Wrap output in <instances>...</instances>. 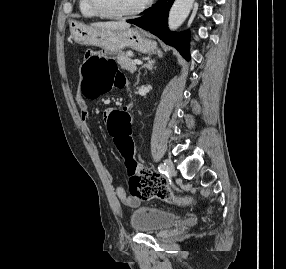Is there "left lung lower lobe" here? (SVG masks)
<instances>
[{
  "instance_id": "obj_1",
  "label": "left lung lower lobe",
  "mask_w": 286,
  "mask_h": 269,
  "mask_svg": "<svg viewBox=\"0 0 286 269\" xmlns=\"http://www.w3.org/2000/svg\"><path fill=\"white\" fill-rule=\"evenodd\" d=\"M174 0H158V2L148 10L145 15L138 19L128 20L145 30L158 36L168 45L174 46L186 59H189V33L170 32L167 27L168 12Z\"/></svg>"
}]
</instances>
